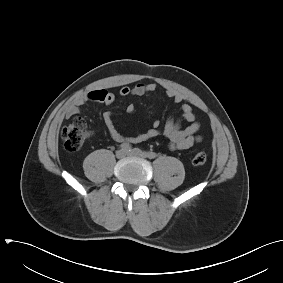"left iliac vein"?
Listing matches in <instances>:
<instances>
[{"mask_svg":"<svg viewBox=\"0 0 283 283\" xmlns=\"http://www.w3.org/2000/svg\"><path fill=\"white\" fill-rule=\"evenodd\" d=\"M128 154L133 155V156H137V157H142L145 158V153L142 152L139 148H134L131 150V152H129Z\"/></svg>","mask_w":283,"mask_h":283,"instance_id":"4c4485c4","label":"left iliac vein"}]
</instances>
